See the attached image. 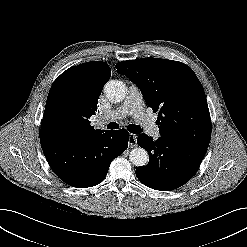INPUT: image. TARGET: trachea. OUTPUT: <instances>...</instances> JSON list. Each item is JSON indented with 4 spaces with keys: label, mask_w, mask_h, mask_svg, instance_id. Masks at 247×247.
Returning <instances> with one entry per match:
<instances>
[{
    "label": "trachea",
    "mask_w": 247,
    "mask_h": 247,
    "mask_svg": "<svg viewBox=\"0 0 247 247\" xmlns=\"http://www.w3.org/2000/svg\"><path fill=\"white\" fill-rule=\"evenodd\" d=\"M119 128V124L116 123V122H110L108 125H107V129H118ZM127 129L129 132L133 133V134H139L141 132V127L138 126V125H134V124H130L127 126Z\"/></svg>",
    "instance_id": "obj_1"
}]
</instances>
